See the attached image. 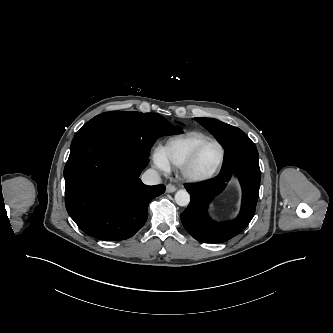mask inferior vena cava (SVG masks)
I'll return each mask as SVG.
<instances>
[{
  "instance_id": "1",
  "label": "inferior vena cava",
  "mask_w": 333,
  "mask_h": 333,
  "mask_svg": "<svg viewBox=\"0 0 333 333\" xmlns=\"http://www.w3.org/2000/svg\"><path fill=\"white\" fill-rule=\"evenodd\" d=\"M141 180L146 185H157L161 183V178L159 174L157 173V171L153 169L146 170L142 174Z\"/></svg>"
}]
</instances>
